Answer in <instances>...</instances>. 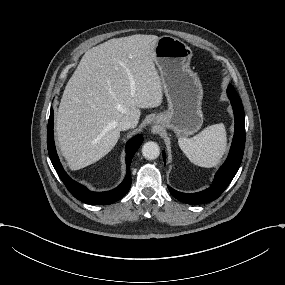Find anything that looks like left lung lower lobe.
Segmentation results:
<instances>
[{
  "instance_id": "left-lung-lower-lobe-1",
  "label": "left lung lower lobe",
  "mask_w": 285,
  "mask_h": 285,
  "mask_svg": "<svg viewBox=\"0 0 285 285\" xmlns=\"http://www.w3.org/2000/svg\"><path fill=\"white\" fill-rule=\"evenodd\" d=\"M227 94L231 100L235 116V133L228 158L217 172L213 184L204 191L198 193H182L168 186L170 193L176 199L184 203L196 205L216 200L230 184L241 164L245 146L244 109L239 95L235 92L231 84L228 86ZM163 159L165 162L164 152Z\"/></svg>"
}]
</instances>
